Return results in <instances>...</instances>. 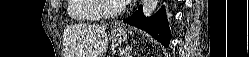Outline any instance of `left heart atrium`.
Masks as SVG:
<instances>
[{
    "mask_svg": "<svg viewBox=\"0 0 249 57\" xmlns=\"http://www.w3.org/2000/svg\"><path fill=\"white\" fill-rule=\"evenodd\" d=\"M119 2L122 4H127L129 2H132V0H119Z\"/></svg>",
    "mask_w": 249,
    "mask_h": 57,
    "instance_id": "obj_1",
    "label": "left heart atrium"
}]
</instances>
